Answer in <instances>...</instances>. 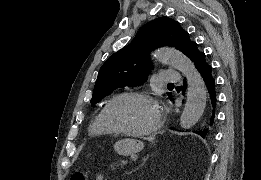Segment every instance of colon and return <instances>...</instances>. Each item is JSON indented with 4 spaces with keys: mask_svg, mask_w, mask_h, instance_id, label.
Instances as JSON below:
<instances>
[{
    "mask_svg": "<svg viewBox=\"0 0 261 180\" xmlns=\"http://www.w3.org/2000/svg\"><path fill=\"white\" fill-rule=\"evenodd\" d=\"M72 180H85V176L81 172H76L73 174Z\"/></svg>",
    "mask_w": 261,
    "mask_h": 180,
    "instance_id": "1",
    "label": "colon"
}]
</instances>
